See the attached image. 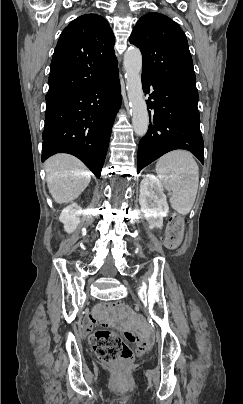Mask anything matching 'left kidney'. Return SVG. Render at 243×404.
<instances>
[{
	"label": "left kidney",
	"instance_id": "obj_1",
	"mask_svg": "<svg viewBox=\"0 0 243 404\" xmlns=\"http://www.w3.org/2000/svg\"><path fill=\"white\" fill-rule=\"evenodd\" d=\"M139 204L149 228L151 230L153 228H162L163 218H166L169 206L164 194L163 184L156 176H152V174L144 176L140 184Z\"/></svg>",
	"mask_w": 243,
	"mask_h": 404
}]
</instances>
